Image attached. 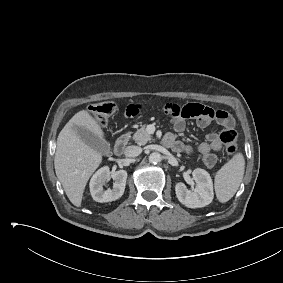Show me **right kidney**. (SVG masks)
Instances as JSON below:
<instances>
[{
	"instance_id": "1",
	"label": "right kidney",
	"mask_w": 283,
	"mask_h": 283,
	"mask_svg": "<svg viewBox=\"0 0 283 283\" xmlns=\"http://www.w3.org/2000/svg\"><path fill=\"white\" fill-rule=\"evenodd\" d=\"M113 178L114 184L112 189L103 190V185ZM127 172L118 170L110 172L108 166L99 169L90 180V192L92 198L100 203L111 202L120 198L125 190Z\"/></svg>"
}]
</instances>
